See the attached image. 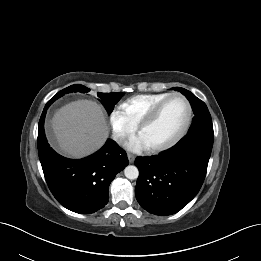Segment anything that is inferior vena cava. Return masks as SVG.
Returning <instances> with one entry per match:
<instances>
[{
	"instance_id": "inferior-vena-cava-1",
	"label": "inferior vena cava",
	"mask_w": 261,
	"mask_h": 261,
	"mask_svg": "<svg viewBox=\"0 0 261 261\" xmlns=\"http://www.w3.org/2000/svg\"><path fill=\"white\" fill-rule=\"evenodd\" d=\"M115 140L117 141V142H123L124 141V139H125V137L124 136H118V135H116L115 137Z\"/></svg>"
}]
</instances>
